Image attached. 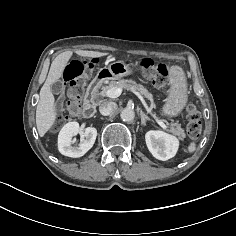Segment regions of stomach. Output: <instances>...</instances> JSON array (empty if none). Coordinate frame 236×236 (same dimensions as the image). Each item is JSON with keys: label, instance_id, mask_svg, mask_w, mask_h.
Masks as SVG:
<instances>
[{"label": "stomach", "instance_id": "stomach-1", "mask_svg": "<svg viewBox=\"0 0 236 236\" xmlns=\"http://www.w3.org/2000/svg\"><path fill=\"white\" fill-rule=\"evenodd\" d=\"M132 74V68L123 61H116L101 68L97 73L100 81L119 80ZM171 89L165 99L160 114L166 117L177 116L187 103L186 85L184 73L181 68L174 66L171 68Z\"/></svg>", "mask_w": 236, "mask_h": 236}]
</instances>
